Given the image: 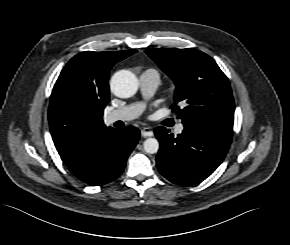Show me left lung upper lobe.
Here are the masks:
<instances>
[{
    "mask_svg": "<svg viewBox=\"0 0 290 245\" xmlns=\"http://www.w3.org/2000/svg\"><path fill=\"white\" fill-rule=\"evenodd\" d=\"M145 52L175 82L172 108L184 125L195 123L232 137L235 104L230 83L210 56L192 48Z\"/></svg>",
    "mask_w": 290,
    "mask_h": 245,
    "instance_id": "left-lung-upper-lobe-1",
    "label": "left lung upper lobe"
}]
</instances>
